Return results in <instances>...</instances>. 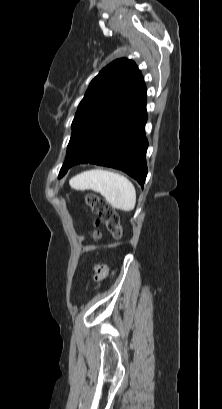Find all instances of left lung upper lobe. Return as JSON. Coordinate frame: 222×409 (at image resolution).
Segmentation results:
<instances>
[{
  "instance_id": "1",
  "label": "left lung upper lobe",
  "mask_w": 222,
  "mask_h": 409,
  "mask_svg": "<svg viewBox=\"0 0 222 409\" xmlns=\"http://www.w3.org/2000/svg\"><path fill=\"white\" fill-rule=\"evenodd\" d=\"M134 100L146 102V87L133 61L118 59L100 71L91 81L78 106L59 178L66 174L71 162L84 151L95 135Z\"/></svg>"
}]
</instances>
